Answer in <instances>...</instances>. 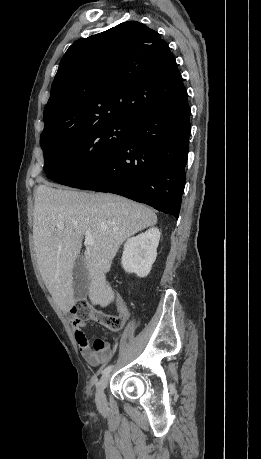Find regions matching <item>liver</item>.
<instances>
[{"instance_id":"liver-1","label":"liver","mask_w":261,"mask_h":459,"mask_svg":"<svg viewBox=\"0 0 261 459\" xmlns=\"http://www.w3.org/2000/svg\"><path fill=\"white\" fill-rule=\"evenodd\" d=\"M60 221L62 228L57 227ZM156 223L150 208L119 195L39 185L33 239L41 276L57 305L69 311L74 304L73 268L85 231L91 232L94 241L84 252L90 276L88 296L92 304L105 307L114 298L105 274L120 246Z\"/></svg>"}]
</instances>
